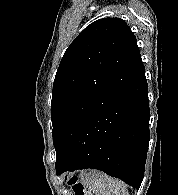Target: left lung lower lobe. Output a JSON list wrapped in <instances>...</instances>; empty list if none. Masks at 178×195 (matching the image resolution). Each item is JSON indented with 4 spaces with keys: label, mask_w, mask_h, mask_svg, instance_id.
I'll return each mask as SVG.
<instances>
[{
    "label": "left lung lower lobe",
    "mask_w": 178,
    "mask_h": 195,
    "mask_svg": "<svg viewBox=\"0 0 178 195\" xmlns=\"http://www.w3.org/2000/svg\"><path fill=\"white\" fill-rule=\"evenodd\" d=\"M144 66L85 123L56 161V173L94 168L139 189L149 144Z\"/></svg>",
    "instance_id": "obj_1"
}]
</instances>
